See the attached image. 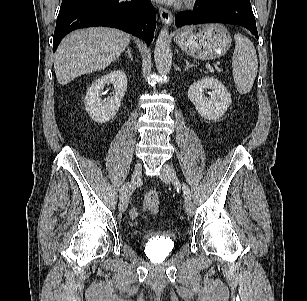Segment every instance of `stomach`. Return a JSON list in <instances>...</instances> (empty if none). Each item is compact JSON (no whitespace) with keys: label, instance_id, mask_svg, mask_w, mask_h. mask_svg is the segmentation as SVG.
<instances>
[{"label":"stomach","instance_id":"obj_1","mask_svg":"<svg viewBox=\"0 0 307 301\" xmlns=\"http://www.w3.org/2000/svg\"><path fill=\"white\" fill-rule=\"evenodd\" d=\"M176 42L187 54L201 60L216 59L231 46V36L221 24L192 25L180 29Z\"/></svg>","mask_w":307,"mask_h":301}]
</instances>
